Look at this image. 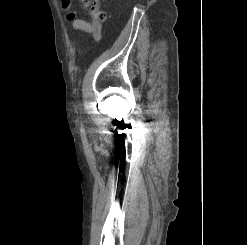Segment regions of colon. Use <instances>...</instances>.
Instances as JSON below:
<instances>
[{
    "instance_id": "5ec220e1",
    "label": "colon",
    "mask_w": 247,
    "mask_h": 245,
    "mask_svg": "<svg viewBox=\"0 0 247 245\" xmlns=\"http://www.w3.org/2000/svg\"><path fill=\"white\" fill-rule=\"evenodd\" d=\"M83 4L89 9L94 21L101 22L105 15L97 9V0H82Z\"/></svg>"
}]
</instances>
